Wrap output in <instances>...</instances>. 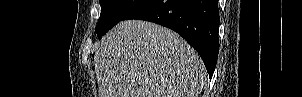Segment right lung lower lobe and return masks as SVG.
Instances as JSON below:
<instances>
[{
	"label": "right lung lower lobe",
	"mask_w": 302,
	"mask_h": 97,
	"mask_svg": "<svg viewBox=\"0 0 302 97\" xmlns=\"http://www.w3.org/2000/svg\"><path fill=\"white\" fill-rule=\"evenodd\" d=\"M128 19L176 31L196 49L212 78L219 51L218 0H142L122 20Z\"/></svg>",
	"instance_id": "obj_1"
}]
</instances>
